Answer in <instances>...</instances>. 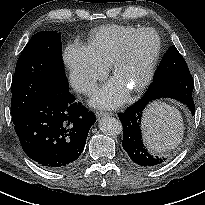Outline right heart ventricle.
Here are the masks:
<instances>
[{"label": "right heart ventricle", "instance_id": "right-heart-ventricle-1", "mask_svg": "<svg viewBox=\"0 0 205 205\" xmlns=\"http://www.w3.org/2000/svg\"><path fill=\"white\" fill-rule=\"evenodd\" d=\"M138 28L131 26L107 25L98 29L92 36L89 50L93 57L105 66L111 65L128 36Z\"/></svg>", "mask_w": 205, "mask_h": 205}]
</instances>
